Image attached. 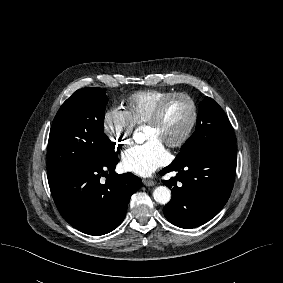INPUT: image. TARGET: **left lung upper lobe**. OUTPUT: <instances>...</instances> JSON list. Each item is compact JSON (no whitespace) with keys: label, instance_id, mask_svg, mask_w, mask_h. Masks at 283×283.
Instances as JSON below:
<instances>
[{"label":"left lung upper lobe","instance_id":"left-lung-upper-lobe-1","mask_svg":"<svg viewBox=\"0 0 283 283\" xmlns=\"http://www.w3.org/2000/svg\"><path fill=\"white\" fill-rule=\"evenodd\" d=\"M232 145H236V137L228 117L213 99L205 97L199 106L196 130L181 147L172 163L199 152Z\"/></svg>","mask_w":283,"mask_h":283}]
</instances>
